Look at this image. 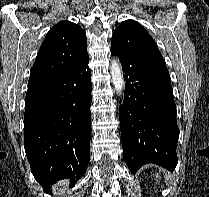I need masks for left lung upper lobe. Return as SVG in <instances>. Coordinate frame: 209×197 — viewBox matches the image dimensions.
<instances>
[{"label":"left lung upper lobe","mask_w":209,"mask_h":197,"mask_svg":"<svg viewBox=\"0 0 209 197\" xmlns=\"http://www.w3.org/2000/svg\"><path fill=\"white\" fill-rule=\"evenodd\" d=\"M112 48L136 57L165 64L161 52L145 28L134 20H126L114 31Z\"/></svg>","instance_id":"5c2ea615"}]
</instances>
